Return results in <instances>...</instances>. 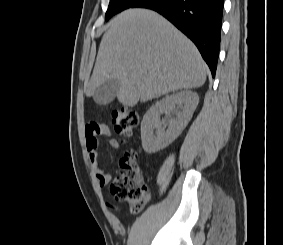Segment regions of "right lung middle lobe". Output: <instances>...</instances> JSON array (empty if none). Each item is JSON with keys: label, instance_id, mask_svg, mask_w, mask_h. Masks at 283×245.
<instances>
[{"label": "right lung middle lobe", "instance_id": "dd1d6c3e", "mask_svg": "<svg viewBox=\"0 0 283 245\" xmlns=\"http://www.w3.org/2000/svg\"><path fill=\"white\" fill-rule=\"evenodd\" d=\"M140 0H110L108 10L105 15L106 21L113 15L134 6Z\"/></svg>", "mask_w": 283, "mask_h": 245}]
</instances>
